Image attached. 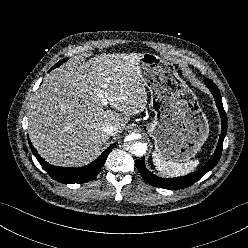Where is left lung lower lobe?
<instances>
[{
  "label": "left lung lower lobe",
  "mask_w": 248,
  "mask_h": 248,
  "mask_svg": "<svg viewBox=\"0 0 248 248\" xmlns=\"http://www.w3.org/2000/svg\"><path fill=\"white\" fill-rule=\"evenodd\" d=\"M205 84L210 89V91L212 92L215 98L216 105H217V108L219 110L221 120H222V132H221L219 142H218L217 148L213 156L207 162V164L203 166L201 169H199L198 171L190 175H186V176H182L178 178H170V179L160 178L152 174L145 167L144 160L136 161V167L138 168L144 180L148 182L149 184L156 186V187L165 188V189H172V190L182 189V188L188 187L189 185L199 180L203 175H205L208 171H210L219 161L221 152H222L223 140L225 138L226 131H227V116L224 111V108L222 105V99H221L220 92L217 86L211 80H205Z\"/></svg>",
  "instance_id": "obj_1"
}]
</instances>
